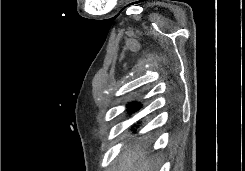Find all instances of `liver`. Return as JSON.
I'll return each mask as SVG.
<instances>
[{"label":"liver","instance_id":"obj_1","mask_svg":"<svg viewBox=\"0 0 245 171\" xmlns=\"http://www.w3.org/2000/svg\"><path fill=\"white\" fill-rule=\"evenodd\" d=\"M118 171H155L154 163L139 148L126 149L119 158Z\"/></svg>","mask_w":245,"mask_h":171}]
</instances>
